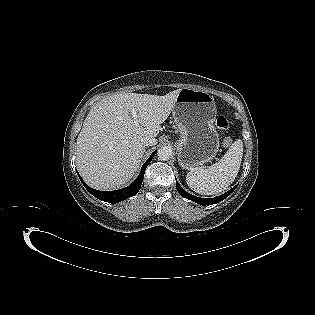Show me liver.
Returning <instances> with one entry per match:
<instances>
[{
    "mask_svg": "<svg viewBox=\"0 0 315 315\" xmlns=\"http://www.w3.org/2000/svg\"><path fill=\"white\" fill-rule=\"evenodd\" d=\"M180 90L164 96L120 93L96 103L77 138V168L85 182L98 190L127 183L144 155L142 140L155 139ZM132 109L137 111L139 125L129 113Z\"/></svg>",
    "mask_w": 315,
    "mask_h": 315,
    "instance_id": "6515ba94",
    "label": "liver"
}]
</instances>
